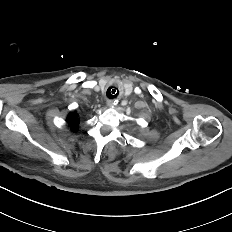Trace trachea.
Segmentation results:
<instances>
[{
	"mask_svg": "<svg viewBox=\"0 0 232 232\" xmlns=\"http://www.w3.org/2000/svg\"><path fill=\"white\" fill-rule=\"evenodd\" d=\"M120 93L119 89L115 86L109 87L107 90V96L109 99H114Z\"/></svg>",
	"mask_w": 232,
	"mask_h": 232,
	"instance_id": "trachea-1",
	"label": "trachea"
}]
</instances>
